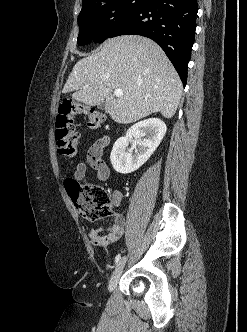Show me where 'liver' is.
I'll return each instance as SVG.
<instances>
[{
	"mask_svg": "<svg viewBox=\"0 0 247 332\" xmlns=\"http://www.w3.org/2000/svg\"><path fill=\"white\" fill-rule=\"evenodd\" d=\"M121 89L122 96L112 94ZM89 106L105 102V112L119 124H130L152 113H176L182 82L162 49L136 35L108 39L100 51L80 59L63 89Z\"/></svg>",
	"mask_w": 247,
	"mask_h": 332,
	"instance_id": "liver-1",
	"label": "liver"
}]
</instances>
